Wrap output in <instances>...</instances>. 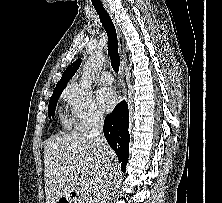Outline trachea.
<instances>
[{
	"instance_id": "1",
	"label": "trachea",
	"mask_w": 222,
	"mask_h": 203,
	"mask_svg": "<svg viewBox=\"0 0 222 203\" xmlns=\"http://www.w3.org/2000/svg\"><path fill=\"white\" fill-rule=\"evenodd\" d=\"M93 6L108 36V54L110 56L111 66L113 70L118 73L120 66V58L118 53V40L115 26L103 5L93 4Z\"/></svg>"
}]
</instances>
